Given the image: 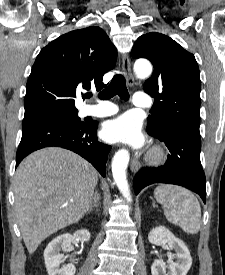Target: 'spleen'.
Masks as SVG:
<instances>
[{"label": "spleen", "instance_id": "3e777b00", "mask_svg": "<svg viewBox=\"0 0 225 275\" xmlns=\"http://www.w3.org/2000/svg\"><path fill=\"white\" fill-rule=\"evenodd\" d=\"M163 205L166 219L188 234H197L201 225V208L197 198L186 188L164 184L154 190Z\"/></svg>", "mask_w": 225, "mask_h": 275}]
</instances>
